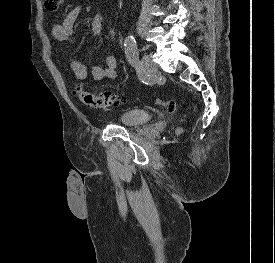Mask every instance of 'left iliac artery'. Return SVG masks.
Here are the masks:
<instances>
[{
  "label": "left iliac artery",
  "instance_id": "obj_1",
  "mask_svg": "<svg viewBox=\"0 0 275 263\" xmlns=\"http://www.w3.org/2000/svg\"><path fill=\"white\" fill-rule=\"evenodd\" d=\"M125 53L128 62L131 65H137L139 63V58H138V48L136 44L135 37L133 35H129L125 39Z\"/></svg>",
  "mask_w": 275,
  "mask_h": 263
}]
</instances>
